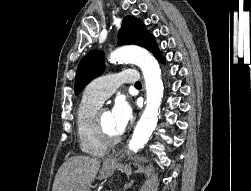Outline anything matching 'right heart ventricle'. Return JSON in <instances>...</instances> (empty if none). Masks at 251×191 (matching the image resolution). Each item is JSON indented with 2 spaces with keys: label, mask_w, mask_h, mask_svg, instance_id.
Returning <instances> with one entry per match:
<instances>
[{
  "label": "right heart ventricle",
  "mask_w": 251,
  "mask_h": 191,
  "mask_svg": "<svg viewBox=\"0 0 251 191\" xmlns=\"http://www.w3.org/2000/svg\"><path fill=\"white\" fill-rule=\"evenodd\" d=\"M101 101L83 96L75 112V135L80 152L91 157H102L107 146L99 139L94 116Z\"/></svg>",
  "instance_id": "obj_1"
}]
</instances>
